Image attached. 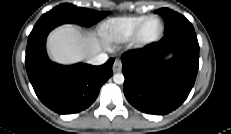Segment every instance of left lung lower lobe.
<instances>
[{"instance_id":"1","label":"left lung lower lobe","mask_w":231,"mask_h":134,"mask_svg":"<svg viewBox=\"0 0 231 134\" xmlns=\"http://www.w3.org/2000/svg\"><path fill=\"white\" fill-rule=\"evenodd\" d=\"M173 52L174 58L163 56ZM199 67V44L194 29L165 35L159 42L122 55L124 94L138 110L167 114L178 108L193 88Z\"/></svg>"}]
</instances>
